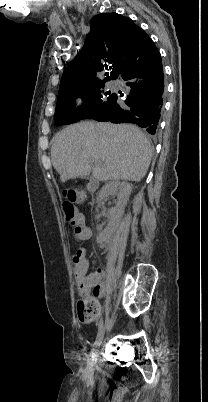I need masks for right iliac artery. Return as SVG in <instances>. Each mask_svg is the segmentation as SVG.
<instances>
[{
    "label": "right iliac artery",
    "mask_w": 208,
    "mask_h": 402,
    "mask_svg": "<svg viewBox=\"0 0 208 402\" xmlns=\"http://www.w3.org/2000/svg\"><path fill=\"white\" fill-rule=\"evenodd\" d=\"M103 326V318L100 319L99 323H98V332L100 331V329Z\"/></svg>",
    "instance_id": "obj_1"
}]
</instances>
